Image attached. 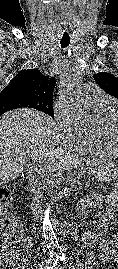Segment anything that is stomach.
Wrapping results in <instances>:
<instances>
[{"mask_svg": "<svg viewBox=\"0 0 118 269\" xmlns=\"http://www.w3.org/2000/svg\"><path fill=\"white\" fill-rule=\"evenodd\" d=\"M99 181L111 182L118 176V167L112 162H99L87 168Z\"/></svg>", "mask_w": 118, "mask_h": 269, "instance_id": "1", "label": "stomach"}]
</instances>
